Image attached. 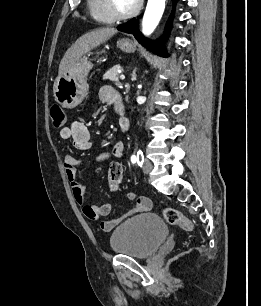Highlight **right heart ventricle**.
<instances>
[{
	"label": "right heart ventricle",
	"instance_id": "1",
	"mask_svg": "<svg viewBox=\"0 0 261 306\" xmlns=\"http://www.w3.org/2000/svg\"><path fill=\"white\" fill-rule=\"evenodd\" d=\"M89 15L97 22L108 24L113 19L106 12L103 0H86Z\"/></svg>",
	"mask_w": 261,
	"mask_h": 306
}]
</instances>
